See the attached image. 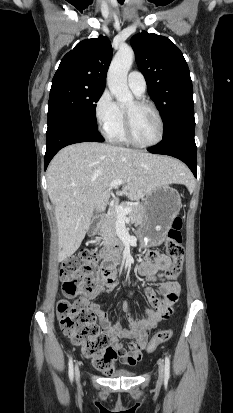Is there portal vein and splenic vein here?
Listing matches in <instances>:
<instances>
[{"label": "portal vein and splenic vein", "mask_w": 233, "mask_h": 413, "mask_svg": "<svg viewBox=\"0 0 233 413\" xmlns=\"http://www.w3.org/2000/svg\"><path fill=\"white\" fill-rule=\"evenodd\" d=\"M123 183H124L123 180L117 179V180L110 182V184L108 185V188L109 189L117 188ZM114 210L116 211L119 219L128 220L126 215L131 211V207L123 208L120 205H116Z\"/></svg>", "instance_id": "18ae733b"}]
</instances>
